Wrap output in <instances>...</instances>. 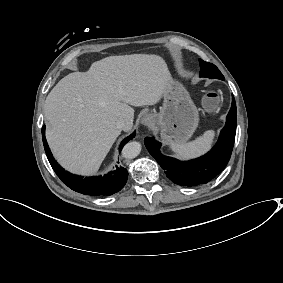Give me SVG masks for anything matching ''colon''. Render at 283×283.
<instances>
[{"label": "colon", "mask_w": 283, "mask_h": 283, "mask_svg": "<svg viewBox=\"0 0 283 283\" xmlns=\"http://www.w3.org/2000/svg\"><path fill=\"white\" fill-rule=\"evenodd\" d=\"M220 103V96L217 92L207 91L203 97V106L208 111H214Z\"/></svg>", "instance_id": "1"}]
</instances>
